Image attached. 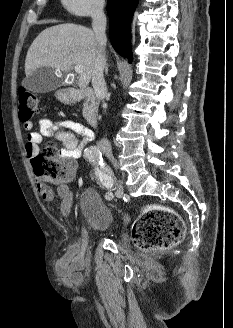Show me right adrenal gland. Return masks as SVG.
I'll list each match as a JSON object with an SVG mask.
<instances>
[{
  "mask_svg": "<svg viewBox=\"0 0 233 328\" xmlns=\"http://www.w3.org/2000/svg\"><path fill=\"white\" fill-rule=\"evenodd\" d=\"M105 74L106 75L108 74V64H106V67H105Z\"/></svg>",
  "mask_w": 233,
  "mask_h": 328,
  "instance_id": "2a0ac1e0",
  "label": "right adrenal gland"
}]
</instances>
